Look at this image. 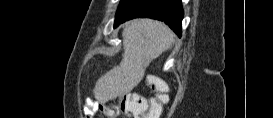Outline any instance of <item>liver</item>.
I'll return each instance as SVG.
<instances>
[{
	"label": "liver",
	"instance_id": "1",
	"mask_svg": "<svg viewBox=\"0 0 273 118\" xmlns=\"http://www.w3.org/2000/svg\"><path fill=\"white\" fill-rule=\"evenodd\" d=\"M122 37V61L101 76L93 89L95 98L101 103L131 92L143 79L150 62L171 48L174 42L170 28L151 19H135L127 23Z\"/></svg>",
	"mask_w": 273,
	"mask_h": 118
}]
</instances>
